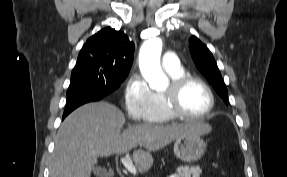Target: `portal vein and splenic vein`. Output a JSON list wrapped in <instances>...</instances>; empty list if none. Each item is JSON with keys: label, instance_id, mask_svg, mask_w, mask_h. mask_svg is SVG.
<instances>
[{"label": "portal vein and splenic vein", "instance_id": "obj_1", "mask_svg": "<svg viewBox=\"0 0 287 177\" xmlns=\"http://www.w3.org/2000/svg\"><path fill=\"white\" fill-rule=\"evenodd\" d=\"M121 162L123 166L133 175H137L136 167L133 164V161L130 158V155L127 154L125 157L121 158ZM172 177H178L177 175H173Z\"/></svg>", "mask_w": 287, "mask_h": 177}]
</instances>
